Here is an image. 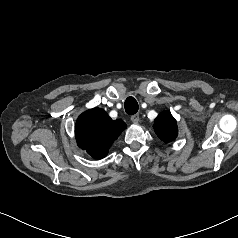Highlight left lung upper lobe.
<instances>
[{
    "instance_id": "5c2ea615",
    "label": "left lung upper lobe",
    "mask_w": 238,
    "mask_h": 238,
    "mask_svg": "<svg viewBox=\"0 0 238 238\" xmlns=\"http://www.w3.org/2000/svg\"><path fill=\"white\" fill-rule=\"evenodd\" d=\"M154 131L165 143H169L177 137V123L171 113L164 111L154 120Z\"/></svg>"
}]
</instances>
